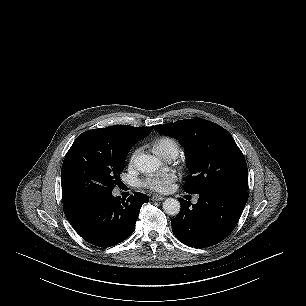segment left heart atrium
Returning <instances> with one entry per match:
<instances>
[{
    "mask_svg": "<svg viewBox=\"0 0 306 306\" xmlns=\"http://www.w3.org/2000/svg\"><path fill=\"white\" fill-rule=\"evenodd\" d=\"M175 181V174L166 173L161 175H150L142 181V185L151 191L164 193L171 189Z\"/></svg>",
    "mask_w": 306,
    "mask_h": 306,
    "instance_id": "39dd6f15",
    "label": "left heart atrium"
}]
</instances>
